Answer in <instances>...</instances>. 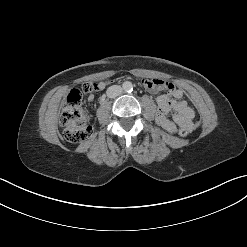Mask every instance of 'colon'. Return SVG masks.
<instances>
[{"mask_svg":"<svg viewBox=\"0 0 247 247\" xmlns=\"http://www.w3.org/2000/svg\"><path fill=\"white\" fill-rule=\"evenodd\" d=\"M97 89V84L92 82L84 83L83 93H92ZM82 93L73 89L67 96L61 114V125L63 136L70 143H79L89 139L93 134V128L89 118L81 105ZM181 137H187L190 130L181 128L178 131Z\"/></svg>","mask_w":247,"mask_h":247,"instance_id":"obj_1","label":"colon"}]
</instances>
